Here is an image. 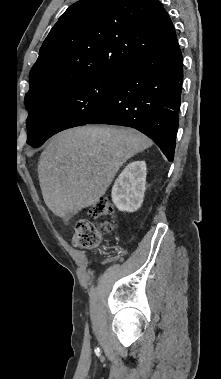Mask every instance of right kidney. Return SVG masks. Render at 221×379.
I'll return each instance as SVG.
<instances>
[{"label": "right kidney", "instance_id": "right-kidney-1", "mask_svg": "<svg viewBox=\"0 0 221 379\" xmlns=\"http://www.w3.org/2000/svg\"><path fill=\"white\" fill-rule=\"evenodd\" d=\"M146 163H129L112 187V201L120 211L135 212L142 205L146 185Z\"/></svg>", "mask_w": 221, "mask_h": 379}]
</instances>
